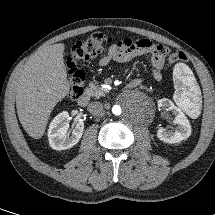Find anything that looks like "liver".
I'll use <instances>...</instances> for the list:
<instances>
[{
    "instance_id": "1",
    "label": "liver",
    "mask_w": 215,
    "mask_h": 215,
    "mask_svg": "<svg viewBox=\"0 0 215 215\" xmlns=\"http://www.w3.org/2000/svg\"><path fill=\"white\" fill-rule=\"evenodd\" d=\"M63 52L62 43L42 47L14 76L18 118L34 139L44 135L52 110L69 93Z\"/></svg>"
}]
</instances>
